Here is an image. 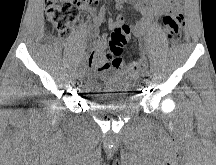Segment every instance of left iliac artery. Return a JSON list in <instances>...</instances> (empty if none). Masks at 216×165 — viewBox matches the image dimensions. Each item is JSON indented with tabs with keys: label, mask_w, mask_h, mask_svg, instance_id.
Returning a JSON list of instances; mask_svg holds the SVG:
<instances>
[{
	"label": "left iliac artery",
	"mask_w": 216,
	"mask_h": 165,
	"mask_svg": "<svg viewBox=\"0 0 216 165\" xmlns=\"http://www.w3.org/2000/svg\"><path fill=\"white\" fill-rule=\"evenodd\" d=\"M142 61L144 63L143 71L144 72H150V62H149V60L147 58H144Z\"/></svg>",
	"instance_id": "44dca946"
}]
</instances>
